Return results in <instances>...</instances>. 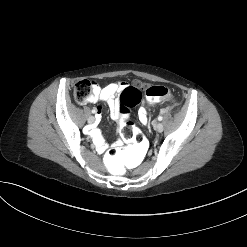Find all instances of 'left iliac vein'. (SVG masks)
Returning a JSON list of instances; mask_svg holds the SVG:
<instances>
[{"mask_svg": "<svg viewBox=\"0 0 247 247\" xmlns=\"http://www.w3.org/2000/svg\"><path fill=\"white\" fill-rule=\"evenodd\" d=\"M154 129H155L156 131H158V132H162L163 129H164L163 124H162V123H156V124L154 125Z\"/></svg>", "mask_w": 247, "mask_h": 247, "instance_id": "1", "label": "left iliac vein"}]
</instances>
